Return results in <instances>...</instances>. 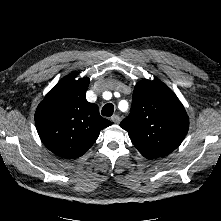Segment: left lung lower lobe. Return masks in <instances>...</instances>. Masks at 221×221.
<instances>
[{"mask_svg": "<svg viewBox=\"0 0 221 221\" xmlns=\"http://www.w3.org/2000/svg\"><path fill=\"white\" fill-rule=\"evenodd\" d=\"M139 152L147 159H154V157L150 156L149 154L144 153L143 151L139 150Z\"/></svg>", "mask_w": 221, "mask_h": 221, "instance_id": "1", "label": "left lung lower lobe"}]
</instances>
